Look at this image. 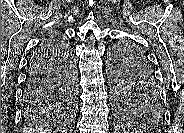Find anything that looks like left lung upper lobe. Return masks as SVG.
I'll return each mask as SVG.
<instances>
[{"label": "left lung upper lobe", "mask_w": 184, "mask_h": 133, "mask_svg": "<svg viewBox=\"0 0 184 133\" xmlns=\"http://www.w3.org/2000/svg\"><path fill=\"white\" fill-rule=\"evenodd\" d=\"M109 66L119 112L147 127L161 124L164 114L160 95L137 87L139 81L157 86L152 67L142 51L134 44H118L111 52Z\"/></svg>", "instance_id": "5c2ea615"}]
</instances>
